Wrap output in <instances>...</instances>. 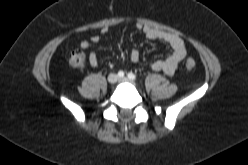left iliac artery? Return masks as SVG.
Masks as SVG:
<instances>
[{
  "mask_svg": "<svg viewBox=\"0 0 248 165\" xmlns=\"http://www.w3.org/2000/svg\"><path fill=\"white\" fill-rule=\"evenodd\" d=\"M128 78L131 80H135L136 79V75L133 74L132 72L128 73Z\"/></svg>",
  "mask_w": 248,
  "mask_h": 165,
  "instance_id": "obj_1",
  "label": "left iliac artery"
}]
</instances>
